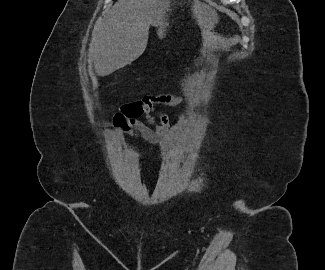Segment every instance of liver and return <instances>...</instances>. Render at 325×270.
Wrapping results in <instances>:
<instances>
[{"label":"liver","instance_id":"obj_1","mask_svg":"<svg viewBox=\"0 0 325 270\" xmlns=\"http://www.w3.org/2000/svg\"><path fill=\"white\" fill-rule=\"evenodd\" d=\"M170 6V0H118L94 27L89 57L96 73L109 75L139 58L146 49L150 25L158 27L162 39L169 26ZM192 12L201 29L211 30L218 23L217 12L199 1L193 3Z\"/></svg>","mask_w":325,"mask_h":270}]
</instances>
